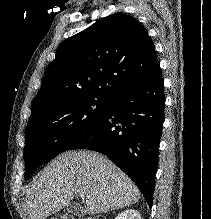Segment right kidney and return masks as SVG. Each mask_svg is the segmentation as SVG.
Listing matches in <instances>:
<instances>
[{"label":"right kidney","mask_w":211,"mask_h":219,"mask_svg":"<svg viewBox=\"0 0 211 219\" xmlns=\"http://www.w3.org/2000/svg\"><path fill=\"white\" fill-rule=\"evenodd\" d=\"M115 219H141V215L134 209H127L118 214Z\"/></svg>","instance_id":"1"}]
</instances>
